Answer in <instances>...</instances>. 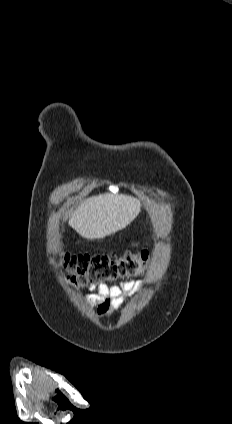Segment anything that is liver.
<instances>
[{
  "mask_svg": "<svg viewBox=\"0 0 232 424\" xmlns=\"http://www.w3.org/2000/svg\"><path fill=\"white\" fill-rule=\"evenodd\" d=\"M140 212V201L122 194L105 193L81 203L69 225L86 239H100L128 226Z\"/></svg>",
  "mask_w": 232,
  "mask_h": 424,
  "instance_id": "6515ba94",
  "label": "liver"
}]
</instances>
